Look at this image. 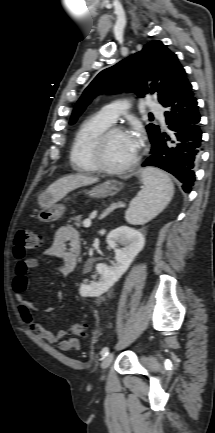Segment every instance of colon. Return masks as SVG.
<instances>
[{
  "label": "colon",
  "mask_w": 215,
  "mask_h": 433,
  "mask_svg": "<svg viewBox=\"0 0 215 433\" xmlns=\"http://www.w3.org/2000/svg\"><path fill=\"white\" fill-rule=\"evenodd\" d=\"M41 246V237L32 228L23 227L19 229L15 240V255L19 259H24L27 252ZM70 333L77 337H84L87 333L85 323L74 322L69 327Z\"/></svg>",
  "instance_id": "colon-1"
}]
</instances>
